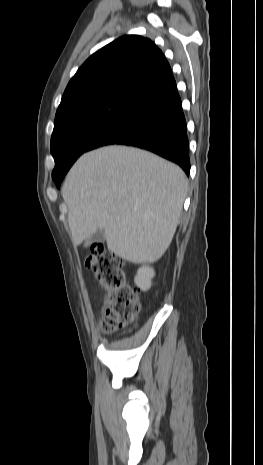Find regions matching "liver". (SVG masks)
I'll return each mask as SVG.
<instances>
[{"mask_svg":"<svg viewBox=\"0 0 263 465\" xmlns=\"http://www.w3.org/2000/svg\"><path fill=\"white\" fill-rule=\"evenodd\" d=\"M187 188L182 169L153 153L120 145L85 153L62 189L73 243L102 229L115 255L153 263L172 241Z\"/></svg>","mask_w":263,"mask_h":465,"instance_id":"liver-1","label":"liver"}]
</instances>
